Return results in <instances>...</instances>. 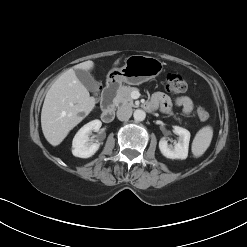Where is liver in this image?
Here are the masks:
<instances>
[{"instance_id": "obj_1", "label": "liver", "mask_w": 247, "mask_h": 247, "mask_svg": "<svg viewBox=\"0 0 247 247\" xmlns=\"http://www.w3.org/2000/svg\"><path fill=\"white\" fill-rule=\"evenodd\" d=\"M93 61H85L64 72L48 90L42 111L41 127L46 140L59 145L68 133L95 107L96 100L79 81L76 69H93Z\"/></svg>"}]
</instances>
